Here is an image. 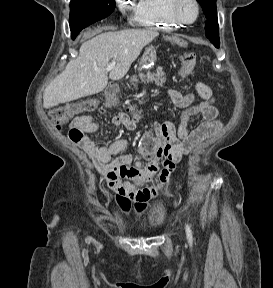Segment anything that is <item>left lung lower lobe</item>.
<instances>
[{
  "label": "left lung lower lobe",
  "instance_id": "0a47b994",
  "mask_svg": "<svg viewBox=\"0 0 273 288\" xmlns=\"http://www.w3.org/2000/svg\"><path fill=\"white\" fill-rule=\"evenodd\" d=\"M216 47H219V44L215 45Z\"/></svg>",
  "mask_w": 273,
  "mask_h": 288
}]
</instances>
